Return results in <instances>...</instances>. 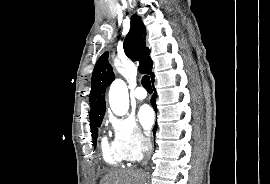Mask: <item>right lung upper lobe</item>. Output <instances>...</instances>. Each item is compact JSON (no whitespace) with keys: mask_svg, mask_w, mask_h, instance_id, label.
Masks as SVG:
<instances>
[{"mask_svg":"<svg viewBox=\"0 0 270 184\" xmlns=\"http://www.w3.org/2000/svg\"><path fill=\"white\" fill-rule=\"evenodd\" d=\"M146 28L141 18L133 14L131 17V27L129 33L124 40V50L126 55L132 60L139 61V71L141 73L150 74L153 62L149 57L150 50L146 47ZM112 67L108 62V52H105L96 62L91 79L90 101V125L102 121L105 110V91L106 88L114 80Z\"/></svg>","mask_w":270,"mask_h":184,"instance_id":"1","label":"right lung upper lobe"}]
</instances>
